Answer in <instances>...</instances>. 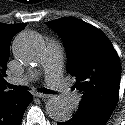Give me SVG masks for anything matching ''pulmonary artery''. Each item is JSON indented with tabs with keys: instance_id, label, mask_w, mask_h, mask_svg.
Returning a JSON list of instances; mask_svg holds the SVG:
<instances>
[{
	"instance_id": "pulmonary-artery-1",
	"label": "pulmonary artery",
	"mask_w": 125,
	"mask_h": 125,
	"mask_svg": "<svg viewBox=\"0 0 125 125\" xmlns=\"http://www.w3.org/2000/svg\"><path fill=\"white\" fill-rule=\"evenodd\" d=\"M40 63L44 67L46 81L49 87L58 92L62 98L75 101L77 96L70 90L67 84L61 77L62 71V51L58 44L51 43L40 57ZM38 76L37 71H32L22 78H11L12 84H23L28 80H34Z\"/></svg>"
}]
</instances>
